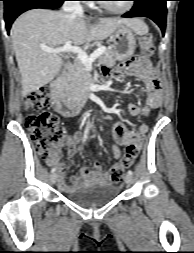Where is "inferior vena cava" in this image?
Listing matches in <instances>:
<instances>
[{
    "label": "inferior vena cava",
    "instance_id": "obj_1",
    "mask_svg": "<svg viewBox=\"0 0 194 253\" xmlns=\"http://www.w3.org/2000/svg\"><path fill=\"white\" fill-rule=\"evenodd\" d=\"M63 11L66 13L83 14V8L79 1H65Z\"/></svg>",
    "mask_w": 194,
    "mask_h": 253
}]
</instances>
